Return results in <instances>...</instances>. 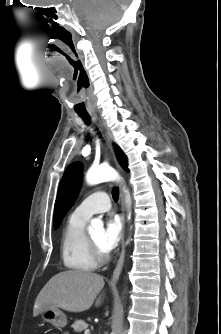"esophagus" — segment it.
I'll return each mask as SVG.
<instances>
[{
  "mask_svg": "<svg viewBox=\"0 0 221 334\" xmlns=\"http://www.w3.org/2000/svg\"><path fill=\"white\" fill-rule=\"evenodd\" d=\"M106 136H107V139H108V142H109V146H110V149L114 155V151H113V148H112V143H111V139H110V136L109 134L106 133ZM115 157V155H114ZM116 164H117V168L120 170V165L118 164V162L116 161ZM120 201H121V222H122V225H123V231H122V250H121V254H120V257L118 259V262H117V265H116V268L113 272V275H112V278H111V281H110V284H115L118 279H119V276H120V273L122 271V267H123V263H124V257H125V248H126V241L124 239V232H125V215H124V212H125V205H124V194H123V183L121 184V189H120Z\"/></svg>",
  "mask_w": 221,
  "mask_h": 334,
  "instance_id": "34e87169",
  "label": "esophagus"
}]
</instances>
